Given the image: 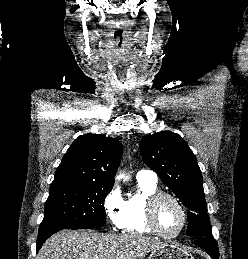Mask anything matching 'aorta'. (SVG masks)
I'll return each instance as SVG.
<instances>
[{
	"label": "aorta",
	"mask_w": 248,
	"mask_h": 259,
	"mask_svg": "<svg viewBox=\"0 0 248 259\" xmlns=\"http://www.w3.org/2000/svg\"><path fill=\"white\" fill-rule=\"evenodd\" d=\"M118 177L121 178V179H124V180H127V179H128V177L125 176L124 174H120Z\"/></svg>",
	"instance_id": "aorta-1"
}]
</instances>
